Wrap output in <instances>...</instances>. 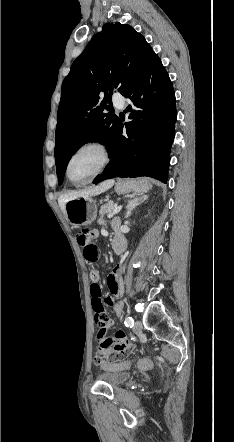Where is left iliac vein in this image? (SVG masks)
Listing matches in <instances>:
<instances>
[{"label": "left iliac vein", "mask_w": 234, "mask_h": 442, "mask_svg": "<svg viewBox=\"0 0 234 442\" xmlns=\"http://www.w3.org/2000/svg\"><path fill=\"white\" fill-rule=\"evenodd\" d=\"M142 328H143L142 322L139 320H136L135 324L133 325L134 332H136V333L140 332L142 330Z\"/></svg>", "instance_id": "obj_1"}]
</instances>
